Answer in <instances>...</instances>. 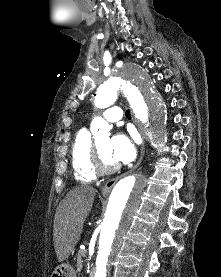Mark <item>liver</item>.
Wrapping results in <instances>:
<instances>
[{
  "instance_id": "1",
  "label": "liver",
  "mask_w": 221,
  "mask_h": 277,
  "mask_svg": "<svg viewBox=\"0 0 221 277\" xmlns=\"http://www.w3.org/2000/svg\"><path fill=\"white\" fill-rule=\"evenodd\" d=\"M96 192L95 188L88 185L77 186L59 203L53 226L54 249L58 261L66 260L73 252Z\"/></svg>"
}]
</instances>
